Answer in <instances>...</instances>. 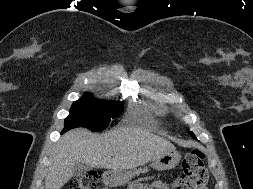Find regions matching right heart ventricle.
Instances as JSON below:
<instances>
[{
	"label": "right heart ventricle",
	"instance_id": "right-heart-ventricle-1",
	"mask_svg": "<svg viewBox=\"0 0 253 189\" xmlns=\"http://www.w3.org/2000/svg\"><path fill=\"white\" fill-rule=\"evenodd\" d=\"M146 118V114L144 112L138 111L133 113L132 119L137 121H143Z\"/></svg>",
	"mask_w": 253,
	"mask_h": 189
}]
</instances>
